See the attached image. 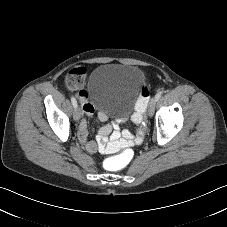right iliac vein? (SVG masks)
I'll list each match as a JSON object with an SVG mask.
<instances>
[{"mask_svg": "<svg viewBox=\"0 0 227 227\" xmlns=\"http://www.w3.org/2000/svg\"><path fill=\"white\" fill-rule=\"evenodd\" d=\"M73 118L75 121H79L81 118V110L79 107H76L73 112Z\"/></svg>", "mask_w": 227, "mask_h": 227, "instance_id": "63e3f726", "label": "right iliac vein"}]
</instances>
